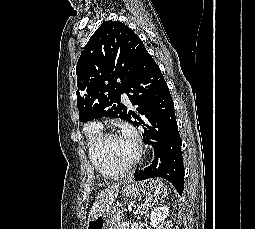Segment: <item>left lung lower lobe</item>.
I'll return each mask as SVG.
<instances>
[{
  "mask_svg": "<svg viewBox=\"0 0 255 229\" xmlns=\"http://www.w3.org/2000/svg\"><path fill=\"white\" fill-rule=\"evenodd\" d=\"M141 116L128 112L127 121L142 126L145 143H153L155 158L144 170L136 171V180L162 177L181 195L184 189V165L181 139L174 113V103L164 77L145 49L124 90ZM130 93V94H129ZM132 116L137 121H132Z\"/></svg>",
  "mask_w": 255,
  "mask_h": 229,
  "instance_id": "0a47b994",
  "label": "left lung lower lobe"
}]
</instances>
